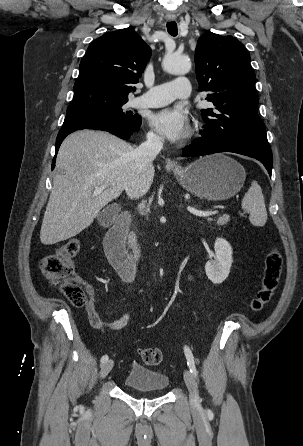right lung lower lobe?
<instances>
[{"label":"right lung lower lobe","mask_w":303,"mask_h":446,"mask_svg":"<svg viewBox=\"0 0 303 446\" xmlns=\"http://www.w3.org/2000/svg\"><path fill=\"white\" fill-rule=\"evenodd\" d=\"M81 129L103 130V131L110 132L122 139H127L132 134L137 132V130L130 129V128H128L118 122H114L112 120H107V119H102V118H88V119L79 120V121L70 123L68 125L62 126V128L60 129V131L58 133L57 139H56L55 153L57 154L62 141L68 134H70L76 130H81ZM55 160H56V155L53 158L52 170L55 167Z\"/></svg>","instance_id":"obj_1"}]
</instances>
